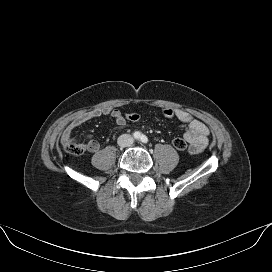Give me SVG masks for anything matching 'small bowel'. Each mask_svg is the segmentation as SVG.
<instances>
[{
  "mask_svg": "<svg viewBox=\"0 0 272 272\" xmlns=\"http://www.w3.org/2000/svg\"><path fill=\"white\" fill-rule=\"evenodd\" d=\"M174 113V117L182 124V127L185 129L183 140L188 144L189 152L192 154H197L203 151L209 142V128L203 122L193 118L184 109H174ZM103 115L113 118L115 123L120 127L126 125V119L120 111L112 108L94 109L77 116L65 128L61 136L62 143L64 145L76 144L83 150H87L92 153L97 152L100 148V144L96 139L88 136L80 141L74 137L73 132L87 121Z\"/></svg>",
  "mask_w": 272,
  "mask_h": 272,
  "instance_id": "1",
  "label": "small bowel"
}]
</instances>
